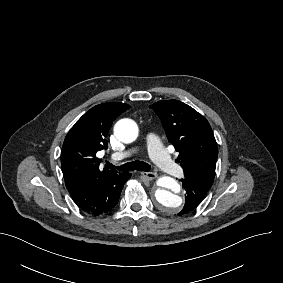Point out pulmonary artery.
I'll return each instance as SVG.
<instances>
[{
	"label": "pulmonary artery",
	"instance_id": "e3ab8cb5",
	"mask_svg": "<svg viewBox=\"0 0 283 283\" xmlns=\"http://www.w3.org/2000/svg\"><path fill=\"white\" fill-rule=\"evenodd\" d=\"M147 146L149 149V154L151 156V161L155 165L156 168L165 172L172 173L176 169V162L173 158L168 157L165 153V148L163 146V142L160 136L155 135L154 133H150L147 136ZM122 156L123 159L129 158L135 153V150L125 151V152H117ZM175 175H180L181 170L178 166V170H176Z\"/></svg>",
	"mask_w": 283,
	"mask_h": 283
}]
</instances>
